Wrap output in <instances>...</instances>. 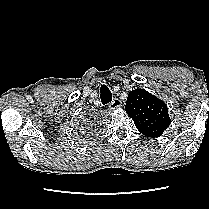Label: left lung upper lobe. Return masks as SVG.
I'll use <instances>...</instances> for the list:
<instances>
[{
  "label": "left lung upper lobe",
  "instance_id": "left-lung-upper-lobe-1",
  "mask_svg": "<svg viewBox=\"0 0 209 209\" xmlns=\"http://www.w3.org/2000/svg\"><path fill=\"white\" fill-rule=\"evenodd\" d=\"M125 110L147 137L161 136L171 122L166 104L144 89L129 92Z\"/></svg>",
  "mask_w": 209,
  "mask_h": 209
}]
</instances>
